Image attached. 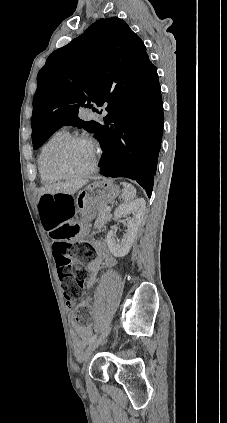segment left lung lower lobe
I'll list each match as a JSON object with an SVG mask.
<instances>
[{"label": "left lung lower lobe", "instance_id": "1", "mask_svg": "<svg viewBox=\"0 0 227 423\" xmlns=\"http://www.w3.org/2000/svg\"><path fill=\"white\" fill-rule=\"evenodd\" d=\"M126 110L108 111L97 138L103 148L99 165L107 177L136 180L151 197L163 134V103L157 71L137 91Z\"/></svg>", "mask_w": 227, "mask_h": 423}]
</instances>
